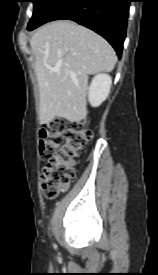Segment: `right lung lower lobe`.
<instances>
[{
  "label": "right lung lower lobe",
  "instance_id": "1",
  "mask_svg": "<svg viewBox=\"0 0 158 275\" xmlns=\"http://www.w3.org/2000/svg\"><path fill=\"white\" fill-rule=\"evenodd\" d=\"M130 0H56L28 30L53 20H73L104 37L121 57Z\"/></svg>",
  "mask_w": 158,
  "mask_h": 275
}]
</instances>
